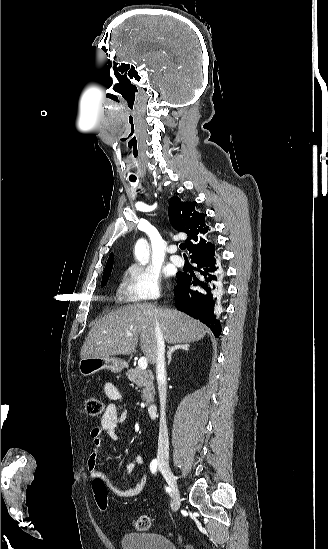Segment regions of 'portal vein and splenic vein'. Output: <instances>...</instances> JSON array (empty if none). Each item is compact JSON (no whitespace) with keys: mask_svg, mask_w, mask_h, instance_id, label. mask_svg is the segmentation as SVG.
<instances>
[{"mask_svg":"<svg viewBox=\"0 0 328 549\" xmlns=\"http://www.w3.org/2000/svg\"><path fill=\"white\" fill-rule=\"evenodd\" d=\"M127 335H129V337H130L131 333H127ZM138 367H139V369H144V371H145V369H147L148 361H147L146 357H140V359L138 361Z\"/></svg>","mask_w":328,"mask_h":549,"instance_id":"obj_1","label":"portal vein and splenic vein"}]
</instances>
